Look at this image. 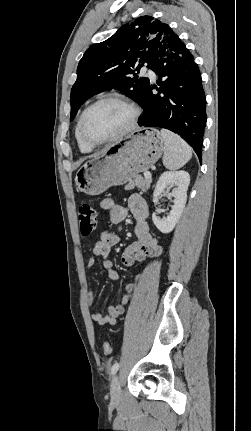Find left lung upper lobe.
Instances as JSON below:
<instances>
[{
  "instance_id": "left-lung-upper-lobe-1",
  "label": "left lung upper lobe",
  "mask_w": 251,
  "mask_h": 431,
  "mask_svg": "<svg viewBox=\"0 0 251 431\" xmlns=\"http://www.w3.org/2000/svg\"><path fill=\"white\" fill-rule=\"evenodd\" d=\"M171 34L174 32L167 24L141 16L106 41L92 45L77 67L70 121L87 99L106 90L125 92L140 104L150 82L148 78H138L135 71L139 72L145 63L149 67L152 55Z\"/></svg>"
}]
</instances>
